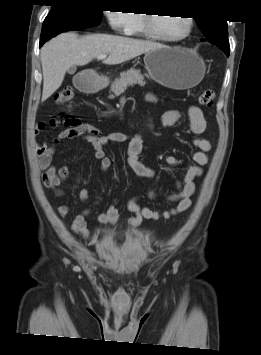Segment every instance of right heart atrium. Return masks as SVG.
Returning <instances> with one entry per match:
<instances>
[{
    "label": "right heart atrium",
    "instance_id": "right-heart-atrium-1",
    "mask_svg": "<svg viewBox=\"0 0 261 355\" xmlns=\"http://www.w3.org/2000/svg\"><path fill=\"white\" fill-rule=\"evenodd\" d=\"M106 17L112 29L117 33L128 34L133 24V14L128 10L106 12Z\"/></svg>",
    "mask_w": 261,
    "mask_h": 355
}]
</instances>
